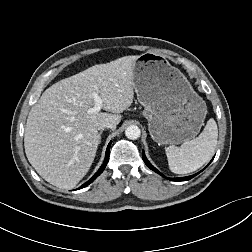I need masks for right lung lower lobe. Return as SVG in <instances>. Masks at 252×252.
<instances>
[{
    "instance_id": "1",
    "label": "right lung lower lobe",
    "mask_w": 252,
    "mask_h": 252,
    "mask_svg": "<svg viewBox=\"0 0 252 252\" xmlns=\"http://www.w3.org/2000/svg\"><path fill=\"white\" fill-rule=\"evenodd\" d=\"M110 144H111V142L107 146L105 160H104V163L102 164V166L100 167V169L93 175V177L90 180H88L86 183H84L79 189L84 188L87 185H89L90 183H92L103 172V170L105 169V167L108 163V160H109Z\"/></svg>"
}]
</instances>
